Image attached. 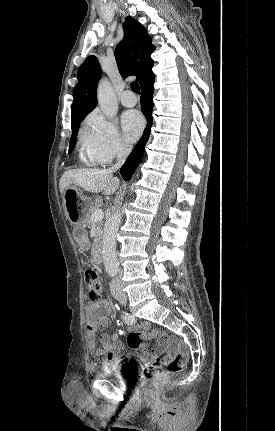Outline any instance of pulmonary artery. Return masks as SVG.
I'll list each match as a JSON object with an SVG mask.
<instances>
[{
  "mask_svg": "<svg viewBox=\"0 0 275 431\" xmlns=\"http://www.w3.org/2000/svg\"><path fill=\"white\" fill-rule=\"evenodd\" d=\"M121 103L126 107H133L137 104V98L130 90H126L121 95Z\"/></svg>",
  "mask_w": 275,
  "mask_h": 431,
  "instance_id": "e3ab8cb5",
  "label": "pulmonary artery"
}]
</instances>
